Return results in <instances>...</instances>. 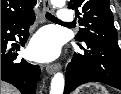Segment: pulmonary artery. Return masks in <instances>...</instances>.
<instances>
[{
	"label": "pulmonary artery",
	"instance_id": "pulmonary-artery-1",
	"mask_svg": "<svg viewBox=\"0 0 121 94\" xmlns=\"http://www.w3.org/2000/svg\"><path fill=\"white\" fill-rule=\"evenodd\" d=\"M58 17H59V20L62 22H70L73 19L71 12L68 9H61L59 11Z\"/></svg>",
	"mask_w": 121,
	"mask_h": 94
}]
</instances>
